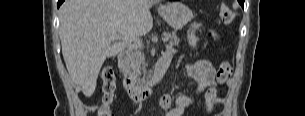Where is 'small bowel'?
I'll list each match as a JSON object with an SVG mask.
<instances>
[{"instance_id": "obj_1", "label": "small bowel", "mask_w": 305, "mask_h": 116, "mask_svg": "<svg viewBox=\"0 0 305 116\" xmlns=\"http://www.w3.org/2000/svg\"><path fill=\"white\" fill-rule=\"evenodd\" d=\"M163 56L171 57L169 52L164 53ZM186 70L196 82V92L204 96L207 112L211 113L214 107L224 100L217 95L213 65L208 60H198L187 65ZM193 102V98L186 95L172 96L167 94L161 97L159 105L166 116H185Z\"/></svg>"}]
</instances>
